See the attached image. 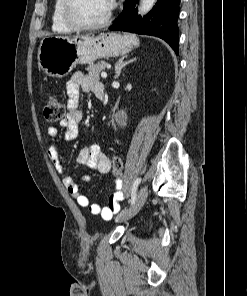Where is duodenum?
<instances>
[{
	"label": "duodenum",
	"mask_w": 247,
	"mask_h": 296,
	"mask_svg": "<svg viewBox=\"0 0 247 296\" xmlns=\"http://www.w3.org/2000/svg\"><path fill=\"white\" fill-rule=\"evenodd\" d=\"M96 96L99 98L100 101L102 102L106 101V93L103 88L97 91Z\"/></svg>",
	"instance_id": "1"
}]
</instances>
